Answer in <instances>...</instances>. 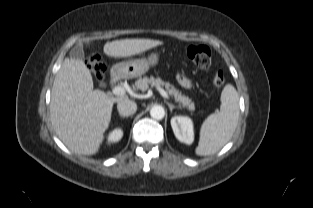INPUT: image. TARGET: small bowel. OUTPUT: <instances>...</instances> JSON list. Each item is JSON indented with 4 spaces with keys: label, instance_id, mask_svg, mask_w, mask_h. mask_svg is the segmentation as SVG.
I'll return each mask as SVG.
<instances>
[{
    "label": "small bowel",
    "instance_id": "1",
    "mask_svg": "<svg viewBox=\"0 0 313 208\" xmlns=\"http://www.w3.org/2000/svg\"><path fill=\"white\" fill-rule=\"evenodd\" d=\"M177 81L184 88H190L192 85L190 79H188L186 76L180 73L177 74Z\"/></svg>",
    "mask_w": 313,
    "mask_h": 208
}]
</instances>
